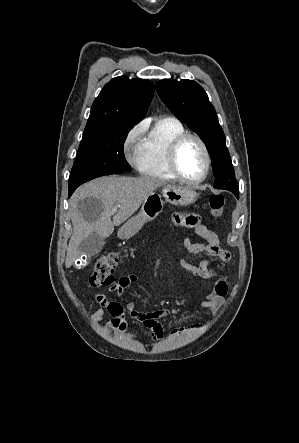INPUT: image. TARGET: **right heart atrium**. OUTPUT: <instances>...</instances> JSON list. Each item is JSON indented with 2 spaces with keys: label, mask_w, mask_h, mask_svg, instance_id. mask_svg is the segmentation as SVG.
<instances>
[{
  "label": "right heart atrium",
  "mask_w": 299,
  "mask_h": 443,
  "mask_svg": "<svg viewBox=\"0 0 299 443\" xmlns=\"http://www.w3.org/2000/svg\"><path fill=\"white\" fill-rule=\"evenodd\" d=\"M145 130L146 125L143 122L134 125L126 133L122 143V149L126 158L134 167L139 165L142 137Z\"/></svg>",
  "instance_id": "right-heart-atrium-1"
}]
</instances>
